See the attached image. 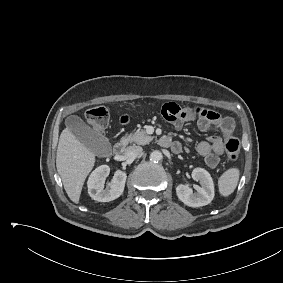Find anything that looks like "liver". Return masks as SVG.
Listing matches in <instances>:
<instances>
[{"label":"liver","mask_w":283,"mask_h":283,"mask_svg":"<svg viewBox=\"0 0 283 283\" xmlns=\"http://www.w3.org/2000/svg\"><path fill=\"white\" fill-rule=\"evenodd\" d=\"M94 164L95 154L66 127L60 134L56 167L64 189L74 203L79 202L83 184Z\"/></svg>","instance_id":"liver-1"}]
</instances>
